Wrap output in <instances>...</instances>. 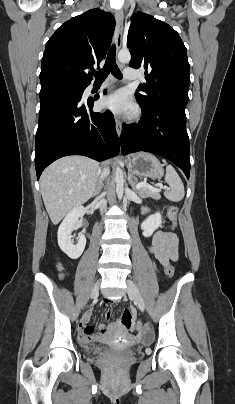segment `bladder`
<instances>
[{"mask_svg": "<svg viewBox=\"0 0 235 404\" xmlns=\"http://www.w3.org/2000/svg\"><path fill=\"white\" fill-rule=\"evenodd\" d=\"M106 350H107L108 352H112V353H115V354H117V355H121V354L124 353L123 350L118 349V348H115V347H111L110 349H106Z\"/></svg>", "mask_w": 235, "mask_h": 404, "instance_id": "obj_1", "label": "bladder"}]
</instances>
